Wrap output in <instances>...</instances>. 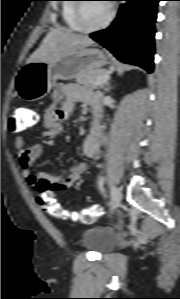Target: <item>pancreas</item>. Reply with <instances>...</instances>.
Here are the masks:
<instances>
[{"label":"pancreas","instance_id":"1","mask_svg":"<svg viewBox=\"0 0 180 299\" xmlns=\"http://www.w3.org/2000/svg\"><path fill=\"white\" fill-rule=\"evenodd\" d=\"M107 73H108L107 70H104V69L92 70V71H89V72L79 76L77 78V83L79 85H83L84 87L89 88V89H96L98 87L102 88L104 86V84L96 86L95 82L99 77H101Z\"/></svg>","mask_w":180,"mask_h":299}]
</instances>
